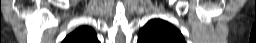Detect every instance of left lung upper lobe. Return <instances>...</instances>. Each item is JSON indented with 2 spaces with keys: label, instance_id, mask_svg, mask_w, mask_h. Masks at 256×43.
<instances>
[{
  "label": "left lung upper lobe",
  "instance_id": "obj_1",
  "mask_svg": "<svg viewBox=\"0 0 256 43\" xmlns=\"http://www.w3.org/2000/svg\"><path fill=\"white\" fill-rule=\"evenodd\" d=\"M138 43H185L178 29L161 20H150L139 32Z\"/></svg>",
  "mask_w": 256,
  "mask_h": 43
}]
</instances>
